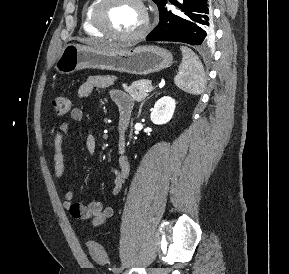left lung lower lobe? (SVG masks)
Listing matches in <instances>:
<instances>
[{
  "label": "left lung lower lobe",
  "instance_id": "left-lung-lower-lobe-1",
  "mask_svg": "<svg viewBox=\"0 0 289 274\" xmlns=\"http://www.w3.org/2000/svg\"><path fill=\"white\" fill-rule=\"evenodd\" d=\"M181 10L173 14L159 9L160 21L147 37L148 41H176L190 45H205L213 38L212 11L209 0H183L182 4L169 0Z\"/></svg>",
  "mask_w": 289,
  "mask_h": 274
}]
</instances>
